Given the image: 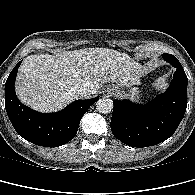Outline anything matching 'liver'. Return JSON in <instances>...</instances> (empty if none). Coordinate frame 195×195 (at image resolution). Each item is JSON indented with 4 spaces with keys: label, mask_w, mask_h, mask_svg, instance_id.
I'll return each instance as SVG.
<instances>
[{
    "label": "liver",
    "mask_w": 195,
    "mask_h": 195,
    "mask_svg": "<svg viewBox=\"0 0 195 195\" xmlns=\"http://www.w3.org/2000/svg\"><path fill=\"white\" fill-rule=\"evenodd\" d=\"M143 73V66L128 54L108 48L66 51L55 56L34 54L19 68L16 93L32 109L54 112L78 98L74 92L77 86L89 87L87 96H91L104 83L135 85Z\"/></svg>",
    "instance_id": "liver-1"
}]
</instances>
